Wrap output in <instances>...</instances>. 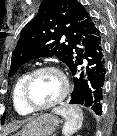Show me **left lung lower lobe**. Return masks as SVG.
Here are the masks:
<instances>
[{
    "instance_id": "left-lung-lower-lobe-1",
    "label": "left lung lower lobe",
    "mask_w": 117,
    "mask_h": 136,
    "mask_svg": "<svg viewBox=\"0 0 117 136\" xmlns=\"http://www.w3.org/2000/svg\"><path fill=\"white\" fill-rule=\"evenodd\" d=\"M106 67L104 40L102 34L98 32L87 39L83 53L70 67L74 89L69 103L90 107L97 115H100Z\"/></svg>"
}]
</instances>
